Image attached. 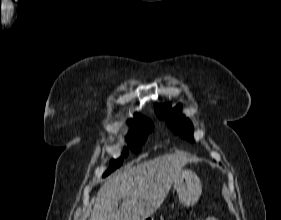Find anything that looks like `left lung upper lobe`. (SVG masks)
Wrapping results in <instances>:
<instances>
[{"label": "left lung upper lobe", "instance_id": "5c2ea615", "mask_svg": "<svg viewBox=\"0 0 281 220\" xmlns=\"http://www.w3.org/2000/svg\"><path fill=\"white\" fill-rule=\"evenodd\" d=\"M181 105L178 104L175 108H171V104L168 105H156L155 111L159 118L164 119L169 128L180 136L193 141L190 131L193 126L189 119L184 118L181 115Z\"/></svg>", "mask_w": 281, "mask_h": 220}]
</instances>
